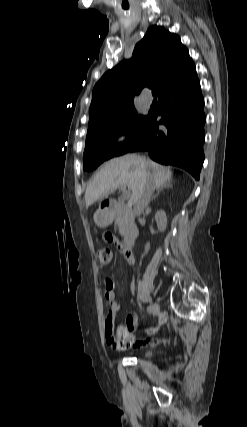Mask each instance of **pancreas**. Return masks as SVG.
<instances>
[{"label":"pancreas","instance_id":"cf45deb5","mask_svg":"<svg viewBox=\"0 0 247 427\" xmlns=\"http://www.w3.org/2000/svg\"><path fill=\"white\" fill-rule=\"evenodd\" d=\"M130 218L125 210L119 209L115 214V224L118 226L120 235L124 236L127 232Z\"/></svg>","mask_w":247,"mask_h":427}]
</instances>
